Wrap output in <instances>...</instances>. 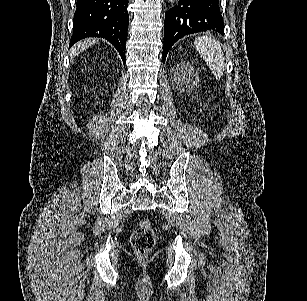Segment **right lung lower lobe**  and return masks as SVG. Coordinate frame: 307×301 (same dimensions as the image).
<instances>
[{
    "instance_id": "obj_1",
    "label": "right lung lower lobe",
    "mask_w": 307,
    "mask_h": 301,
    "mask_svg": "<svg viewBox=\"0 0 307 301\" xmlns=\"http://www.w3.org/2000/svg\"><path fill=\"white\" fill-rule=\"evenodd\" d=\"M128 0H77L70 47L86 37L109 41L125 63L129 15Z\"/></svg>"
}]
</instances>
